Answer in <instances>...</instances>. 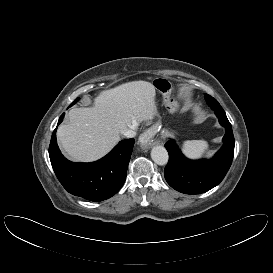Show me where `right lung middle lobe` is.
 Wrapping results in <instances>:
<instances>
[{
    "mask_svg": "<svg viewBox=\"0 0 273 273\" xmlns=\"http://www.w3.org/2000/svg\"><path fill=\"white\" fill-rule=\"evenodd\" d=\"M79 100V98H77L70 106L74 105L75 103H77V101Z\"/></svg>",
    "mask_w": 273,
    "mask_h": 273,
    "instance_id": "obj_1",
    "label": "right lung middle lobe"
}]
</instances>
